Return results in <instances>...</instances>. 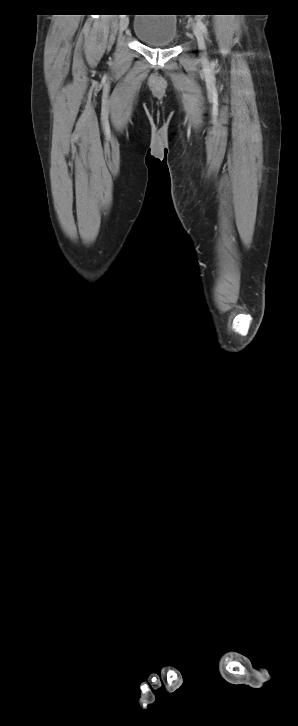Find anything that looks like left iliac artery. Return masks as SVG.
I'll return each mask as SVG.
<instances>
[{
    "mask_svg": "<svg viewBox=\"0 0 298 726\" xmlns=\"http://www.w3.org/2000/svg\"><path fill=\"white\" fill-rule=\"evenodd\" d=\"M197 26L200 28V30L205 34V36H208V30L206 25L200 20L197 19Z\"/></svg>",
    "mask_w": 298,
    "mask_h": 726,
    "instance_id": "left-iliac-artery-1",
    "label": "left iliac artery"
}]
</instances>
